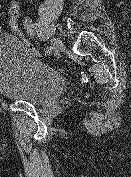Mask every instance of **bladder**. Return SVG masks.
Here are the masks:
<instances>
[{"instance_id":"obj_1","label":"bladder","mask_w":131,"mask_h":177,"mask_svg":"<svg viewBox=\"0 0 131 177\" xmlns=\"http://www.w3.org/2000/svg\"><path fill=\"white\" fill-rule=\"evenodd\" d=\"M66 87L62 72L36 58L13 34L0 37V94L16 101L45 103Z\"/></svg>"}]
</instances>
